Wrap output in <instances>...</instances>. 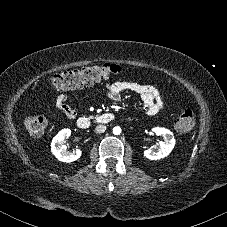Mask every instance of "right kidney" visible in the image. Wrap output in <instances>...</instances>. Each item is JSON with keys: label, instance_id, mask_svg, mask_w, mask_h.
<instances>
[{"label": "right kidney", "instance_id": "ca27d5eb", "mask_svg": "<svg viewBox=\"0 0 227 227\" xmlns=\"http://www.w3.org/2000/svg\"><path fill=\"white\" fill-rule=\"evenodd\" d=\"M71 135L70 129H63L52 139L51 151L53 155L62 162L70 163L80 158L82 152L76 149L72 152L66 150V146L63 144L65 138H69Z\"/></svg>", "mask_w": 227, "mask_h": 227}]
</instances>
